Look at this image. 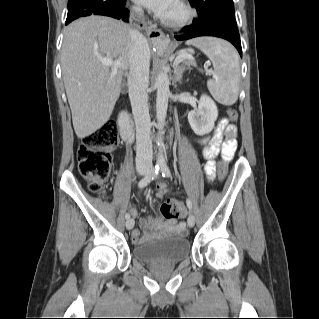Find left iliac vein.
Returning a JSON list of instances; mask_svg holds the SVG:
<instances>
[{
  "label": "left iliac vein",
  "instance_id": "left-iliac-vein-1",
  "mask_svg": "<svg viewBox=\"0 0 319 319\" xmlns=\"http://www.w3.org/2000/svg\"><path fill=\"white\" fill-rule=\"evenodd\" d=\"M187 224L189 227H193L195 225V217L193 214H190L187 219Z\"/></svg>",
  "mask_w": 319,
  "mask_h": 319
}]
</instances>
